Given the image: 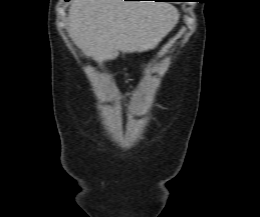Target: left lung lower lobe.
Wrapping results in <instances>:
<instances>
[{
	"label": "left lung lower lobe",
	"mask_w": 260,
	"mask_h": 217,
	"mask_svg": "<svg viewBox=\"0 0 260 217\" xmlns=\"http://www.w3.org/2000/svg\"><path fill=\"white\" fill-rule=\"evenodd\" d=\"M157 1H169V0H157Z\"/></svg>",
	"instance_id": "obj_1"
}]
</instances>
